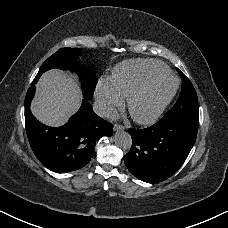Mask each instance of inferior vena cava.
Segmentation results:
<instances>
[{
    "mask_svg": "<svg viewBox=\"0 0 228 228\" xmlns=\"http://www.w3.org/2000/svg\"><path fill=\"white\" fill-rule=\"evenodd\" d=\"M114 109V106L105 99L96 98L94 100L93 110L100 117H107Z\"/></svg>",
    "mask_w": 228,
    "mask_h": 228,
    "instance_id": "inferior-vena-cava-1",
    "label": "inferior vena cava"
}]
</instances>
